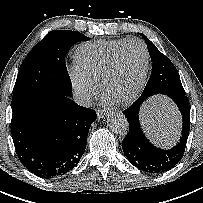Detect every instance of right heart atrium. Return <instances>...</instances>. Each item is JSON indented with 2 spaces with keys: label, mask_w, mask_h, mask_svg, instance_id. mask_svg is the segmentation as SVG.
Segmentation results:
<instances>
[{
  "label": "right heart atrium",
  "mask_w": 203,
  "mask_h": 203,
  "mask_svg": "<svg viewBox=\"0 0 203 203\" xmlns=\"http://www.w3.org/2000/svg\"><path fill=\"white\" fill-rule=\"evenodd\" d=\"M71 83L82 103H87L96 92L95 81L86 75L77 65H71L68 69Z\"/></svg>",
  "instance_id": "d8ad5b80"
}]
</instances>
